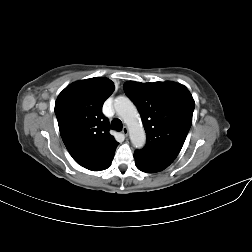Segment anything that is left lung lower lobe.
<instances>
[{
	"label": "left lung lower lobe",
	"instance_id": "1",
	"mask_svg": "<svg viewBox=\"0 0 252 252\" xmlns=\"http://www.w3.org/2000/svg\"><path fill=\"white\" fill-rule=\"evenodd\" d=\"M136 167L146 173H156L167 168L173 160L161 153L139 149L134 152Z\"/></svg>",
	"mask_w": 252,
	"mask_h": 252
}]
</instances>
